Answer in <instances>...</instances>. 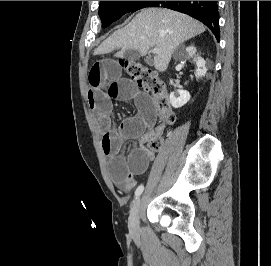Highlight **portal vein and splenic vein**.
Segmentation results:
<instances>
[{
	"mask_svg": "<svg viewBox=\"0 0 271 266\" xmlns=\"http://www.w3.org/2000/svg\"><path fill=\"white\" fill-rule=\"evenodd\" d=\"M152 52H153L154 54H157V53L160 52V49L154 47V48L152 49Z\"/></svg>",
	"mask_w": 271,
	"mask_h": 266,
	"instance_id": "portal-vein-and-splenic-vein-1",
	"label": "portal vein and splenic vein"
}]
</instances>
